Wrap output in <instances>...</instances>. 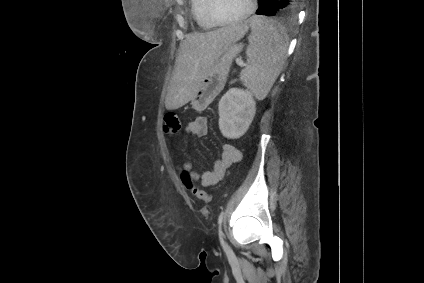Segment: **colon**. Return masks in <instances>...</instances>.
<instances>
[{"label": "colon", "mask_w": 424, "mask_h": 283, "mask_svg": "<svg viewBox=\"0 0 424 283\" xmlns=\"http://www.w3.org/2000/svg\"><path fill=\"white\" fill-rule=\"evenodd\" d=\"M181 130V122L177 114L168 112L164 116V131L169 135H176ZM181 179L184 185L189 189L199 200H202L205 203L210 202L211 197L209 194L195 187L192 178L188 173H182Z\"/></svg>", "instance_id": "5ec220e1"}]
</instances>
